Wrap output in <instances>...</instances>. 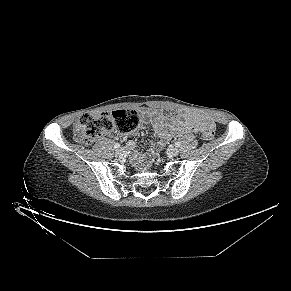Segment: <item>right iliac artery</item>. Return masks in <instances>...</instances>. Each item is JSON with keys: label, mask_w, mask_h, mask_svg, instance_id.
I'll return each mask as SVG.
<instances>
[{"label": "right iliac artery", "mask_w": 291, "mask_h": 291, "mask_svg": "<svg viewBox=\"0 0 291 291\" xmlns=\"http://www.w3.org/2000/svg\"><path fill=\"white\" fill-rule=\"evenodd\" d=\"M114 147L118 149V148L120 147V144H119V143H116V144L114 145Z\"/></svg>", "instance_id": "right-iliac-artery-1"}]
</instances>
